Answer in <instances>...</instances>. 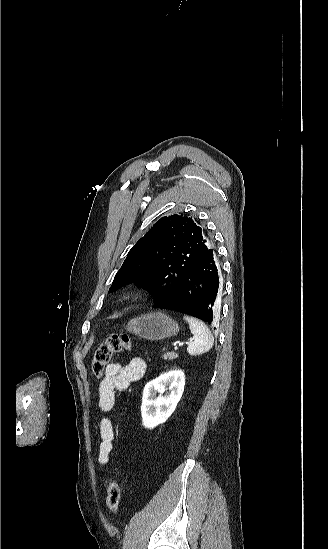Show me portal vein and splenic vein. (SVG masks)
Listing matches in <instances>:
<instances>
[{
    "label": "portal vein and splenic vein",
    "instance_id": "18ae733b",
    "mask_svg": "<svg viewBox=\"0 0 328 549\" xmlns=\"http://www.w3.org/2000/svg\"><path fill=\"white\" fill-rule=\"evenodd\" d=\"M181 345H184V343H179V347H181ZM172 349H174V351H179V348H176V346H172Z\"/></svg>",
    "mask_w": 328,
    "mask_h": 549
}]
</instances>
